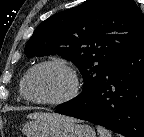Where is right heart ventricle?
<instances>
[{"instance_id": "e07e8e85", "label": "right heart ventricle", "mask_w": 144, "mask_h": 137, "mask_svg": "<svg viewBox=\"0 0 144 137\" xmlns=\"http://www.w3.org/2000/svg\"><path fill=\"white\" fill-rule=\"evenodd\" d=\"M20 97H23L22 94H21V84H20Z\"/></svg>"}]
</instances>
